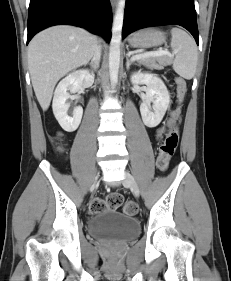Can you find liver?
<instances>
[{
    "label": "liver",
    "instance_id": "6515ba94",
    "mask_svg": "<svg viewBox=\"0 0 231 281\" xmlns=\"http://www.w3.org/2000/svg\"><path fill=\"white\" fill-rule=\"evenodd\" d=\"M97 38L84 29L60 25L38 33L28 46V67L41 108L48 109L58 80L86 65L94 54Z\"/></svg>",
    "mask_w": 231,
    "mask_h": 281
}]
</instances>
